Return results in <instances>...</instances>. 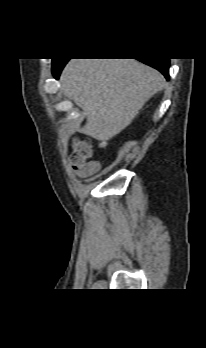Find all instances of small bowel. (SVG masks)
<instances>
[{
    "mask_svg": "<svg viewBox=\"0 0 206 348\" xmlns=\"http://www.w3.org/2000/svg\"><path fill=\"white\" fill-rule=\"evenodd\" d=\"M100 169L101 165L98 162H89L79 166H74L73 172L81 178H87L97 174Z\"/></svg>",
    "mask_w": 206,
    "mask_h": 348,
    "instance_id": "1",
    "label": "small bowel"
}]
</instances>
